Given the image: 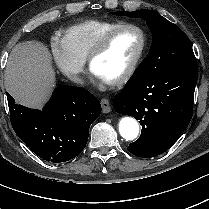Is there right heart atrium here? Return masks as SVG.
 Wrapping results in <instances>:
<instances>
[{
    "label": "right heart atrium",
    "instance_id": "d8ad5b80",
    "mask_svg": "<svg viewBox=\"0 0 209 209\" xmlns=\"http://www.w3.org/2000/svg\"><path fill=\"white\" fill-rule=\"evenodd\" d=\"M52 57L60 71L68 78L79 81L84 68V61L76 57L64 38L53 36L51 39Z\"/></svg>",
    "mask_w": 209,
    "mask_h": 209
}]
</instances>
